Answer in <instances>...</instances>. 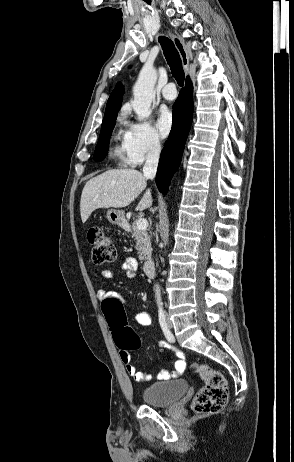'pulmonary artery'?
<instances>
[{
  "label": "pulmonary artery",
  "instance_id": "pulmonary-artery-1",
  "mask_svg": "<svg viewBox=\"0 0 294 462\" xmlns=\"http://www.w3.org/2000/svg\"><path fill=\"white\" fill-rule=\"evenodd\" d=\"M162 97L167 101H173L176 99L177 92L174 83H169L162 89Z\"/></svg>",
  "mask_w": 294,
  "mask_h": 462
}]
</instances>
